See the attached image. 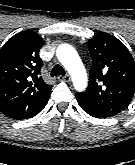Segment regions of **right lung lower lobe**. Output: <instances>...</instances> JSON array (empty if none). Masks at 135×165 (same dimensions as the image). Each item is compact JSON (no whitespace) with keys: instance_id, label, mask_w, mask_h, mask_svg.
Here are the masks:
<instances>
[{"instance_id":"obj_1","label":"right lung lower lobe","mask_w":135,"mask_h":165,"mask_svg":"<svg viewBox=\"0 0 135 165\" xmlns=\"http://www.w3.org/2000/svg\"><path fill=\"white\" fill-rule=\"evenodd\" d=\"M45 105H46V103L44 105L38 107L34 111L18 113V114H14V115H7V116L12 119H17V120L28 119V118H31V117L35 116L36 114H38L45 107Z\"/></svg>"}]
</instances>
